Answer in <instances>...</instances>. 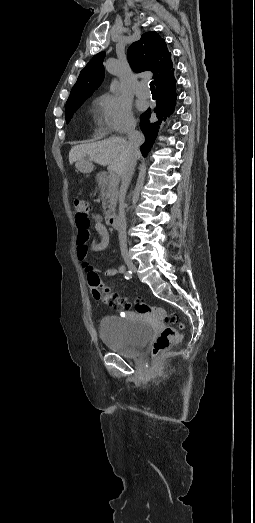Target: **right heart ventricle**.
<instances>
[{
    "mask_svg": "<svg viewBox=\"0 0 255 523\" xmlns=\"http://www.w3.org/2000/svg\"><path fill=\"white\" fill-rule=\"evenodd\" d=\"M95 127L98 131L103 130V128L106 126V117L103 115V113H98L94 119Z\"/></svg>",
    "mask_w": 255,
    "mask_h": 523,
    "instance_id": "obj_1",
    "label": "right heart ventricle"
}]
</instances>
